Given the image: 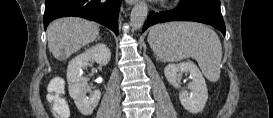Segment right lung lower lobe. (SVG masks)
Returning a JSON list of instances; mask_svg holds the SVG:
<instances>
[{
	"instance_id": "98d812e1",
	"label": "right lung lower lobe",
	"mask_w": 273,
	"mask_h": 118,
	"mask_svg": "<svg viewBox=\"0 0 273 118\" xmlns=\"http://www.w3.org/2000/svg\"><path fill=\"white\" fill-rule=\"evenodd\" d=\"M121 0H46L44 28L60 17L76 16L94 20L118 35Z\"/></svg>"
}]
</instances>
